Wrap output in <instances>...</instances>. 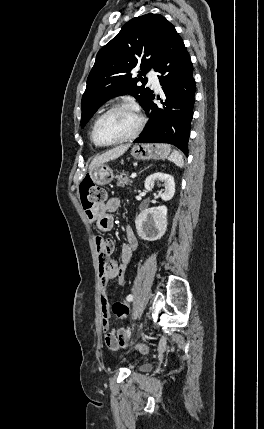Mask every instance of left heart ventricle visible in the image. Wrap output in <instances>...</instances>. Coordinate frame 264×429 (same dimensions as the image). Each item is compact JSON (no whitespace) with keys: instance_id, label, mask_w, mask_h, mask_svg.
<instances>
[{"instance_id":"1","label":"left heart ventricle","mask_w":264,"mask_h":429,"mask_svg":"<svg viewBox=\"0 0 264 429\" xmlns=\"http://www.w3.org/2000/svg\"><path fill=\"white\" fill-rule=\"evenodd\" d=\"M136 124V117L130 111H115L98 123L96 137L101 143L113 142L131 134Z\"/></svg>"}]
</instances>
